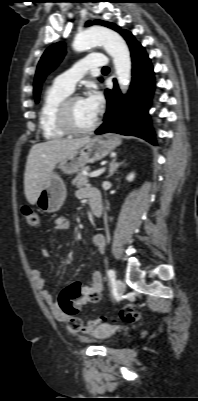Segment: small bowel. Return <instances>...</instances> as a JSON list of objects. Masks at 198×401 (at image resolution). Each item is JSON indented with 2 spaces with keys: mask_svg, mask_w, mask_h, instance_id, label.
Returning <instances> with one entry per match:
<instances>
[{
  "mask_svg": "<svg viewBox=\"0 0 198 401\" xmlns=\"http://www.w3.org/2000/svg\"><path fill=\"white\" fill-rule=\"evenodd\" d=\"M99 193L95 189H81L77 192L79 197H89L92 193ZM69 226V221L66 217L62 216L57 218L52 226L48 229L47 234L50 236L56 235L59 231L67 229ZM94 243L97 245L101 252L105 249V238L102 234H97L94 239ZM41 253L44 257L49 256V249L47 247L41 248ZM32 275L35 280L37 287L41 291V295L47 304L50 306L52 312L55 316L61 320L67 322V329L69 332L78 335H86V334H96L98 330L103 328V325H100L97 322H88L83 326L78 324L77 313L79 310L90 303H96L101 299V293L103 289V280L102 275L99 270H95L92 273L90 283L88 285H82L78 282L76 283V292L75 296L72 299V303L77 306L78 311L75 314H67L65 313L61 307L55 302L51 292L44 287V279L41 273L37 269L32 270Z\"/></svg>",
  "mask_w": 198,
  "mask_h": 401,
  "instance_id": "small-bowel-1",
  "label": "small bowel"
}]
</instances>
